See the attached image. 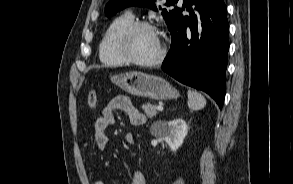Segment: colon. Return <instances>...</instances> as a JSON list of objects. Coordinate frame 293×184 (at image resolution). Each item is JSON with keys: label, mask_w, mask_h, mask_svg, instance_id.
<instances>
[{"label": "colon", "mask_w": 293, "mask_h": 184, "mask_svg": "<svg viewBox=\"0 0 293 184\" xmlns=\"http://www.w3.org/2000/svg\"><path fill=\"white\" fill-rule=\"evenodd\" d=\"M87 102H88V106L91 109H94L96 107V105H97V92H96V90L90 91V93L88 95Z\"/></svg>", "instance_id": "obj_1"}]
</instances>
